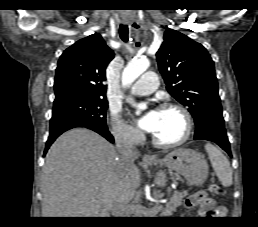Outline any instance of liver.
I'll use <instances>...</instances> for the list:
<instances>
[{
	"mask_svg": "<svg viewBox=\"0 0 258 227\" xmlns=\"http://www.w3.org/2000/svg\"><path fill=\"white\" fill-rule=\"evenodd\" d=\"M166 175L158 173V186ZM133 163L122 164L112 144L97 133L75 128L50 147L42 170V217H103L129 203L140 186Z\"/></svg>",
	"mask_w": 258,
	"mask_h": 227,
	"instance_id": "6515ba94",
	"label": "liver"
}]
</instances>
